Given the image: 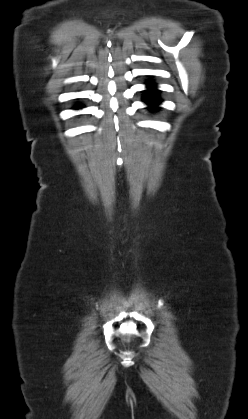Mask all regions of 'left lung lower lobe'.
<instances>
[{
	"label": "left lung lower lobe",
	"instance_id": "1",
	"mask_svg": "<svg viewBox=\"0 0 248 419\" xmlns=\"http://www.w3.org/2000/svg\"><path fill=\"white\" fill-rule=\"evenodd\" d=\"M150 87L149 89L145 92V98L144 101L146 103H148L150 106H153V108H156V105L160 102V100L157 97V90L154 89V85L149 82L147 83Z\"/></svg>",
	"mask_w": 248,
	"mask_h": 419
}]
</instances>
